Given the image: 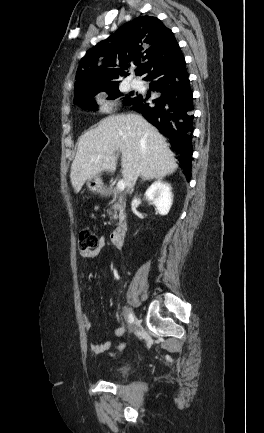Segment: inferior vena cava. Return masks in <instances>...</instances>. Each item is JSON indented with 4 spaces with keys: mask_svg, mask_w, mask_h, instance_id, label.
<instances>
[{
    "mask_svg": "<svg viewBox=\"0 0 264 433\" xmlns=\"http://www.w3.org/2000/svg\"><path fill=\"white\" fill-rule=\"evenodd\" d=\"M139 176V171L136 172V174L134 175L133 179H132V188L135 185V182L137 180V177ZM133 190V189H132Z\"/></svg>",
    "mask_w": 264,
    "mask_h": 433,
    "instance_id": "1",
    "label": "inferior vena cava"
}]
</instances>
